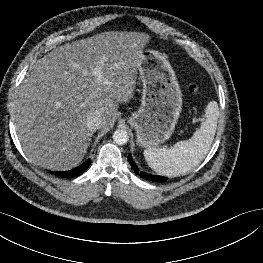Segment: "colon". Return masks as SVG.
I'll use <instances>...</instances> for the list:
<instances>
[{"mask_svg":"<svg viewBox=\"0 0 263 263\" xmlns=\"http://www.w3.org/2000/svg\"><path fill=\"white\" fill-rule=\"evenodd\" d=\"M189 93L191 95H196L198 93V87L194 84L189 86Z\"/></svg>","mask_w":263,"mask_h":263,"instance_id":"1","label":"colon"}]
</instances>
